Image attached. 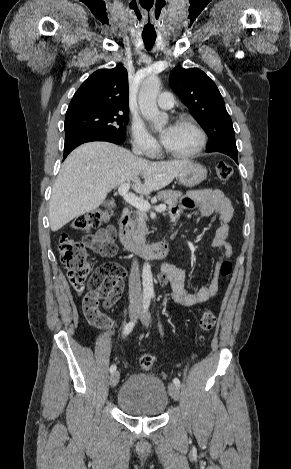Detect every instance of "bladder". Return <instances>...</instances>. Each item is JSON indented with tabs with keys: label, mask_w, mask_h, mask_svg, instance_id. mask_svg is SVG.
Segmentation results:
<instances>
[{
	"label": "bladder",
	"mask_w": 291,
	"mask_h": 469,
	"mask_svg": "<svg viewBox=\"0 0 291 469\" xmlns=\"http://www.w3.org/2000/svg\"><path fill=\"white\" fill-rule=\"evenodd\" d=\"M116 402L128 415L154 417L166 410L169 394L165 384L156 376L133 373L121 385Z\"/></svg>",
	"instance_id": "31cf9c89"
}]
</instances>
